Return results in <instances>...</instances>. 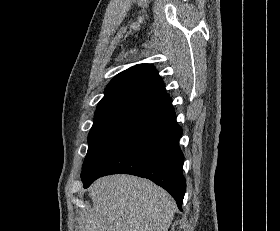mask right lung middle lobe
Wrapping results in <instances>:
<instances>
[{"instance_id": "right-lung-middle-lobe-1", "label": "right lung middle lobe", "mask_w": 280, "mask_h": 231, "mask_svg": "<svg viewBox=\"0 0 280 231\" xmlns=\"http://www.w3.org/2000/svg\"><path fill=\"white\" fill-rule=\"evenodd\" d=\"M135 125L128 120L119 119H94V124L88 136V152L86 154L82 170H84L93 157L114 138Z\"/></svg>"}]
</instances>
